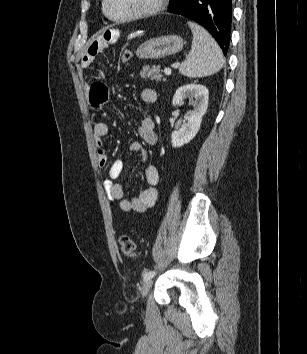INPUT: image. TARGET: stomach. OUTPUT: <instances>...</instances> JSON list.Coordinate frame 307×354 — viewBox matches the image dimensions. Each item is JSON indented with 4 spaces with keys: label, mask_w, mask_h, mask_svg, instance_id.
I'll return each mask as SVG.
<instances>
[{
    "label": "stomach",
    "mask_w": 307,
    "mask_h": 354,
    "mask_svg": "<svg viewBox=\"0 0 307 354\" xmlns=\"http://www.w3.org/2000/svg\"><path fill=\"white\" fill-rule=\"evenodd\" d=\"M141 31L135 33L139 35ZM183 39L178 35H164L147 40L136 50L141 59H160L180 52L183 48Z\"/></svg>",
    "instance_id": "0dacf381"
}]
</instances>
